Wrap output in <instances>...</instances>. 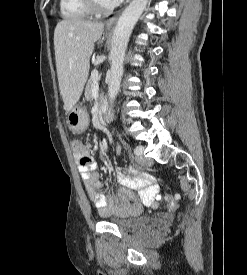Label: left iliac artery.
I'll return each mask as SVG.
<instances>
[{
	"mask_svg": "<svg viewBox=\"0 0 247 275\" xmlns=\"http://www.w3.org/2000/svg\"><path fill=\"white\" fill-rule=\"evenodd\" d=\"M138 152H139V149H138V147H136V148L134 149V154L136 155Z\"/></svg>",
	"mask_w": 247,
	"mask_h": 275,
	"instance_id": "1",
	"label": "left iliac artery"
}]
</instances>
